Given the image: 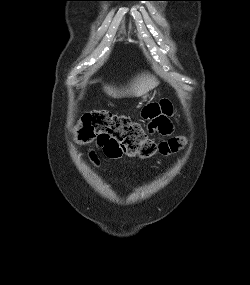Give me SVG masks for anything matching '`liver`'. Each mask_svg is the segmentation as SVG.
Instances as JSON below:
<instances>
[{
    "instance_id": "obj_1",
    "label": "liver",
    "mask_w": 250,
    "mask_h": 285,
    "mask_svg": "<svg viewBox=\"0 0 250 285\" xmlns=\"http://www.w3.org/2000/svg\"><path fill=\"white\" fill-rule=\"evenodd\" d=\"M158 85V81L154 76L149 74H142L138 76L126 90L117 91L112 87L105 86L106 93L114 98H121L124 96L140 97L147 94L150 90Z\"/></svg>"
}]
</instances>
